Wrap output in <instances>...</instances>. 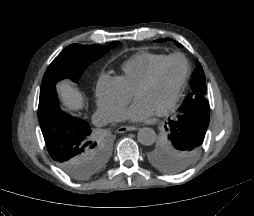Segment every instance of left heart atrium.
<instances>
[{
    "mask_svg": "<svg viewBox=\"0 0 254 216\" xmlns=\"http://www.w3.org/2000/svg\"><path fill=\"white\" fill-rule=\"evenodd\" d=\"M155 110L147 103L136 100L125 112V118L133 122L146 121L155 114Z\"/></svg>",
    "mask_w": 254,
    "mask_h": 216,
    "instance_id": "1",
    "label": "left heart atrium"
}]
</instances>
